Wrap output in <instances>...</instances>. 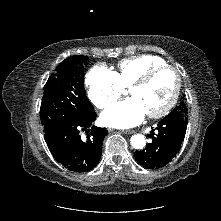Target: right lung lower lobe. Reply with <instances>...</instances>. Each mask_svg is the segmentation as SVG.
<instances>
[{
  "instance_id": "1",
  "label": "right lung lower lobe",
  "mask_w": 221,
  "mask_h": 221,
  "mask_svg": "<svg viewBox=\"0 0 221 221\" xmlns=\"http://www.w3.org/2000/svg\"><path fill=\"white\" fill-rule=\"evenodd\" d=\"M95 119L94 111L79 118H68L45 131L44 138L51 154L68 170L87 172L98 164L102 142L108 131L106 128L91 127ZM81 130L90 132L86 140L81 139Z\"/></svg>"
}]
</instances>
